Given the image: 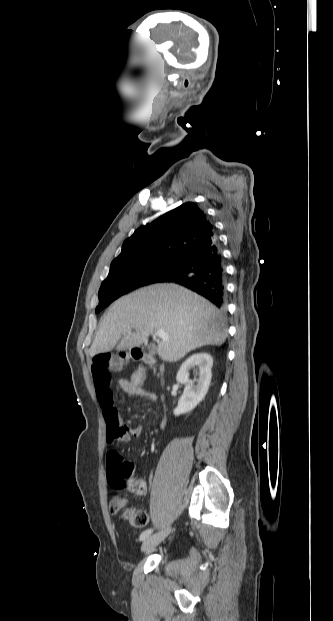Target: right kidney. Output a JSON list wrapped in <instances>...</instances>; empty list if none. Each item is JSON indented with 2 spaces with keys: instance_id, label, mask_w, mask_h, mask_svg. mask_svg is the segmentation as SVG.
I'll list each match as a JSON object with an SVG mask.
<instances>
[{
  "instance_id": "obj_1",
  "label": "right kidney",
  "mask_w": 333,
  "mask_h": 621,
  "mask_svg": "<svg viewBox=\"0 0 333 621\" xmlns=\"http://www.w3.org/2000/svg\"><path fill=\"white\" fill-rule=\"evenodd\" d=\"M212 365L213 359L206 352L195 353L182 363L176 380L178 383L184 384L185 388L177 407L174 409L175 415L178 416L192 411L204 399L211 382ZM195 367L199 370V378L196 385L189 380L188 373L191 368Z\"/></svg>"
}]
</instances>
